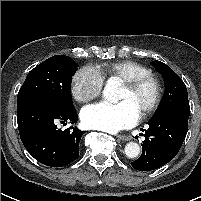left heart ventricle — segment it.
<instances>
[{
	"label": "left heart ventricle",
	"mask_w": 201,
	"mask_h": 201,
	"mask_svg": "<svg viewBox=\"0 0 201 201\" xmlns=\"http://www.w3.org/2000/svg\"><path fill=\"white\" fill-rule=\"evenodd\" d=\"M153 97L154 89L147 83L135 91L122 86L117 101H128L140 113L151 103Z\"/></svg>",
	"instance_id": "left-heart-ventricle-1"
}]
</instances>
